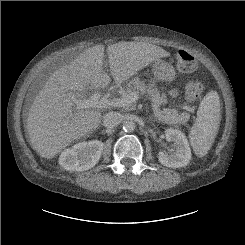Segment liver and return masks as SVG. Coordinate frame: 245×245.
<instances>
[{
    "instance_id": "liver-1",
    "label": "liver",
    "mask_w": 245,
    "mask_h": 245,
    "mask_svg": "<svg viewBox=\"0 0 245 245\" xmlns=\"http://www.w3.org/2000/svg\"><path fill=\"white\" fill-rule=\"evenodd\" d=\"M104 45L80 53L73 61L56 70L35 97L27 118L32 148L51 159L78 140L93 133L102 114L91 108L76 109L69 93L81 94L89 86L106 87L111 79L103 71ZM110 73L121 84L153 61L170 53L144 42L121 41L106 49Z\"/></svg>"
}]
</instances>
